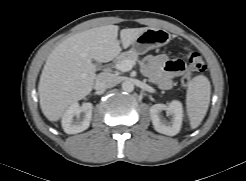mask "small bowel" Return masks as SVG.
I'll list each match as a JSON object with an SVG mask.
<instances>
[{
  "instance_id": "small-bowel-1",
  "label": "small bowel",
  "mask_w": 246,
  "mask_h": 181,
  "mask_svg": "<svg viewBox=\"0 0 246 181\" xmlns=\"http://www.w3.org/2000/svg\"><path fill=\"white\" fill-rule=\"evenodd\" d=\"M144 72L162 88H170L172 78L185 71L181 60L170 59L167 54L150 55L143 61Z\"/></svg>"
}]
</instances>
